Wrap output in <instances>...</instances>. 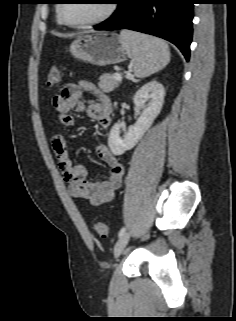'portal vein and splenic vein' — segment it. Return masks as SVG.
<instances>
[{
  "mask_svg": "<svg viewBox=\"0 0 236 321\" xmlns=\"http://www.w3.org/2000/svg\"><path fill=\"white\" fill-rule=\"evenodd\" d=\"M114 78L117 80V81H122V76L118 73H115L114 74Z\"/></svg>",
  "mask_w": 236,
  "mask_h": 321,
  "instance_id": "1",
  "label": "portal vein and splenic vein"
}]
</instances>
